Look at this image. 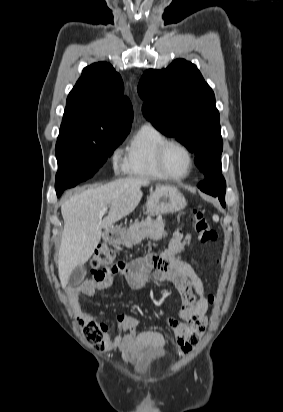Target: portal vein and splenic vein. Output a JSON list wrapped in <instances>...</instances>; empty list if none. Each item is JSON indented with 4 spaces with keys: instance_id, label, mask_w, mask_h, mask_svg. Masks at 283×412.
<instances>
[{
    "instance_id": "portal-vein-and-splenic-vein-1",
    "label": "portal vein and splenic vein",
    "mask_w": 283,
    "mask_h": 412,
    "mask_svg": "<svg viewBox=\"0 0 283 412\" xmlns=\"http://www.w3.org/2000/svg\"><path fill=\"white\" fill-rule=\"evenodd\" d=\"M107 210H108L107 207L103 208L99 213V217L101 218L107 212Z\"/></svg>"
}]
</instances>
